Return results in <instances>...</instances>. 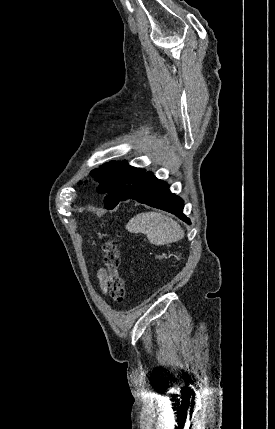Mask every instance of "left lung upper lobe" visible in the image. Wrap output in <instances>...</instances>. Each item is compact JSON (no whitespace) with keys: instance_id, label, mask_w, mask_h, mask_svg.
<instances>
[{"instance_id":"obj_1","label":"left lung upper lobe","mask_w":275,"mask_h":429,"mask_svg":"<svg viewBox=\"0 0 275 429\" xmlns=\"http://www.w3.org/2000/svg\"><path fill=\"white\" fill-rule=\"evenodd\" d=\"M145 172V169L134 168L128 165L126 161H112L92 170L90 175L100 183L97 191L107 193L104 200L105 208L112 209L121 201V197L127 192L131 184ZM113 187L116 190V197L108 194L109 189Z\"/></svg>"}]
</instances>
